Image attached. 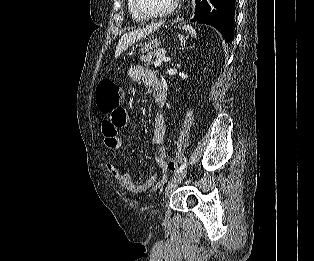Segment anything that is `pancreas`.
Returning <instances> with one entry per match:
<instances>
[{
	"mask_svg": "<svg viewBox=\"0 0 314 261\" xmlns=\"http://www.w3.org/2000/svg\"><path fill=\"white\" fill-rule=\"evenodd\" d=\"M166 51L164 49L158 48L150 53H148L147 55H143L141 57V61L144 62V65L146 67H149L151 65L154 64V58L155 57H164L165 56Z\"/></svg>",
	"mask_w": 314,
	"mask_h": 261,
	"instance_id": "1",
	"label": "pancreas"
}]
</instances>
